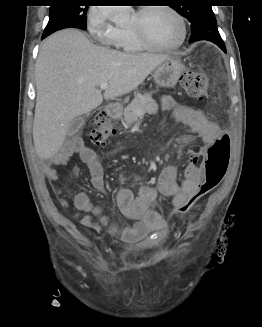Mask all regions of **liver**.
<instances>
[{
  "label": "liver",
  "mask_w": 262,
  "mask_h": 327,
  "mask_svg": "<svg viewBox=\"0 0 262 327\" xmlns=\"http://www.w3.org/2000/svg\"><path fill=\"white\" fill-rule=\"evenodd\" d=\"M163 54H130L97 46L76 29L49 36L35 67L37 88L33 142L40 159L62 147L70 122L103 101L135 90L161 63ZM107 82L102 95L98 86Z\"/></svg>",
  "instance_id": "6515ba94"
}]
</instances>
